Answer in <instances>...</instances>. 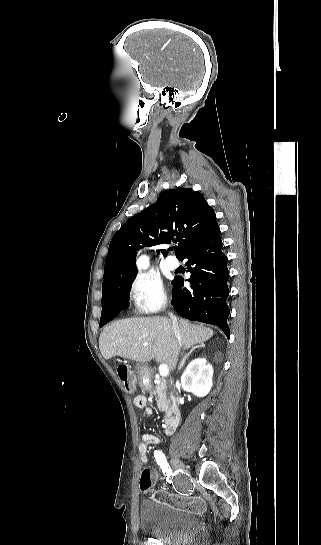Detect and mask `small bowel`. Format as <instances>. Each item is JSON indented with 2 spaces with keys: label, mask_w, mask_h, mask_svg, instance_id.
Segmentation results:
<instances>
[{
  "label": "small bowel",
  "mask_w": 321,
  "mask_h": 545,
  "mask_svg": "<svg viewBox=\"0 0 321 545\" xmlns=\"http://www.w3.org/2000/svg\"><path fill=\"white\" fill-rule=\"evenodd\" d=\"M134 404L138 408H145L147 414H152V410L148 407H146V398L142 395H138L134 398ZM159 443V438L150 433H146L142 436L141 442L138 446L140 459L143 464H146L148 462L147 452L151 445H155ZM154 479L157 477V473L155 471H152Z\"/></svg>",
  "instance_id": "obj_1"
}]
</instances>
